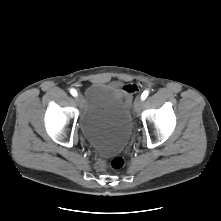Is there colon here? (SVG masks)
I'll use <instances>...</instances> for the list:
<instances>
[{"label":"colon","instance_id":"1","mask_svg":"<svg viewBox=\"0 0 221 221\" xmlns=\"http://www.w3.org/2000/svg\"><path fill=\"white\" fill-rule=\"evenodd\" d=\"M140 90V87L135 82H130L123 87V92L125 94V98L128 102L131 100V96L134 93H137ZM125 166V160L122 156H115L111 159L110 162L99 161L97 163V168L100 170H104L107 167H110L113 170H120Z\"/></svg>","mask_w":221,"mask_h":221}]
</instances>
